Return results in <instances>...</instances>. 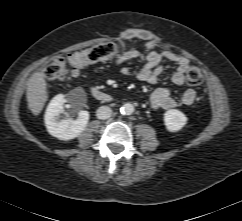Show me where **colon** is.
<instances>
[{"mask_svg":"<svg viewBox=\"0 0 242 221\" xmlns=\"http://www.w3.org/2000/svg\"><path fill=\"white\" fill-rule=\"evenodd\" d=\"M123 43L106 42L94 47L69 53L66 58L57 57L45 68L44 76L49 81H59L70 74H78L85 67L101 61L109 60L126 52ZM188 84L199 86L204 80L202 70L196 65H190L186 71Z\"/></svg>","mask_w":242,"mask_h":221,"instance_id":"1","label":"colon"}]
</instances>
